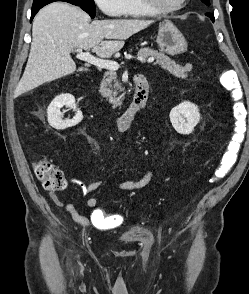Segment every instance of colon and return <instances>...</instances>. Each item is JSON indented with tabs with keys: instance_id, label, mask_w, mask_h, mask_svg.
I'll use <instances>...</instances> for the list:
<instances>
[{
	"instance_id": "colon-1",
	"label": "colon",
	"mask_w": 249,
	"mask_h": 294,
	"mask_svg": "<svg viewBox=\"0 0 249 294\" xmlns=\"http://www.w3.org/2000/svg\"><path fill=\"white\" fill-rule=\"evenodd\" d=\"M225 75L226 73L222 72L219 79L232 102V141L229 143V150L224 154L220 164L213 173V181H218L225 177L234 165L237 151L244 137L245 129V108L242 101L241 88L235 79L228 80ZM34 172L46 190L59 191L67 186V179L63 171L46 158H42L35 163Z\"/></svg>"
}]
</instances>
